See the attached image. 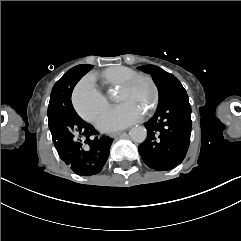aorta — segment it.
Here are the masks:
<instances>
[{
    "mask_svg": "<svg viewBox=\"0 0 241 241\" xmlns=\"http://www.w3.org/2000/svg\"><path fill=\"white\" fill-rule=\"evenodd\" d=\"M129 136L134 142L143 143L147 138V130L144 126H135L130 129Z\"/></svg>",
    "mask_w": 241,
    "mask_h": 241,
    "instance_id": "aorta-1",
    "label": "aorta"
}]
</instances>
